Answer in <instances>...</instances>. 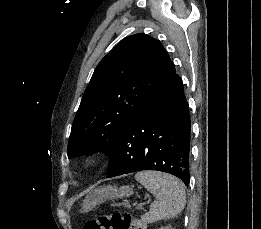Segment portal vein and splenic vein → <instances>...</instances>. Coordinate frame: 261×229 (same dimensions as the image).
Listing matches in <instances>:
<instances>
[{"mask_svg":"<svg viewBox=\"0 0 261 229\" xmlns=\"http://www.w3.org/2000/svg\"><path fill=\"white\" fill-rule=\"evenodd\" d=\"M134 208H143V207H148V204H143V203H134L133 204Z\"/></svg>","mask_w":261,"mask_h":229,"instance_id":"obj_1","label":"portal vein and splenic vein"}]
</instances>
